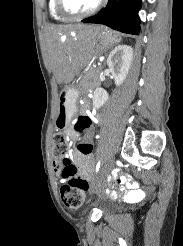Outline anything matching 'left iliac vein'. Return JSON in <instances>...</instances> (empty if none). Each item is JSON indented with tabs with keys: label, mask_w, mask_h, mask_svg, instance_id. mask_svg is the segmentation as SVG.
Instances as JSON below:
<instances>
[{
	"label": "left iliac vein",
	"mask_w": 183,
	"mask_h": 246,
	"mask_svg": "<svg viewBox=\"0 0 183 246\" xmlns=\"http://www.w3.org/2000/svg\"><path fill=\"white\" fill-rule=\"evenodd\" d=\"M113 165H114V157L111 156V157H109V159H108L107 162H106V165H105V172H106V171H109V170L112 168Z\"/></svg>",
	"instance_id": "4c4485c4"
}]
</instances>
